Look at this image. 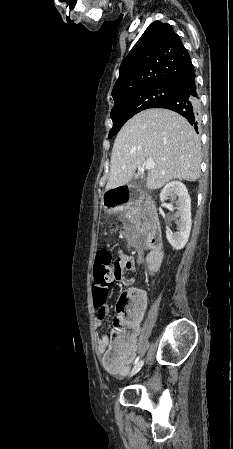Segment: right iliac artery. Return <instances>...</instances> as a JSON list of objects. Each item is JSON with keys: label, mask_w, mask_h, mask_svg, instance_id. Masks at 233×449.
<instances>
[{"label": "right iliac artery", "mask_w": 233, "mask_h": 449, "mask_svg": "<svg viewBox=\"0 0 233 449\" xmlns=\"http://www.w3.org/2000/svg\"><path fill=\"white\" fill-rule=\"evenodd\" d=\"M138 361H139V357H137L136 360L134 361V367L136 366V364L138 363Z\"/></svg>", "instance_id": "1"}]
</instances>
